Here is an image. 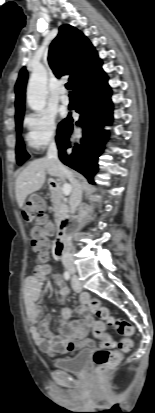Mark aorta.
I'll return each mask as SVG.
<instances>
[{
  "label": "aorta",
  "instance_id": "1",
  "mask_svg": "<svg viewBox=\"0 0 155 413\" xmlns=\"http://www.w3.org/2000/svg\"><path fill=\"white\" fill-rule=\"evenodd\" d=\"M47 98V75L43 67L35 69L29 79L27 87L28 106L36 112L45 108Z\"/></svg>",
  "mask_w": 155,
  "mask_h": 413
}]
</instances>
